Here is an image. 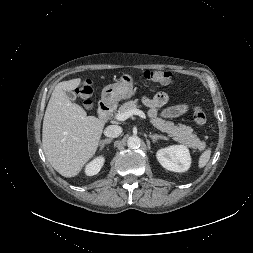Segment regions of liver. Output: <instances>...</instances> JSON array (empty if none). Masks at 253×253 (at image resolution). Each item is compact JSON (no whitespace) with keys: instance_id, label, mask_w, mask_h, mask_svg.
<instances>
[{"instance_id":"obj_1","label":"liver","mask_w":253,"mask_h":253,"mask_svg":"<svg viewBox=\"0 0 253 253\" xmlns=\"http://www.w3.org/2000/svg\"><path fill=\"white\" fill-rule=\"evenodd\" d=\"M80 78L58 83L43 120L42 146L47 160L64 177L76 176L95 155L105 123L87 116L66 92L79 86Z\"/></svg>"}]
</instances>
